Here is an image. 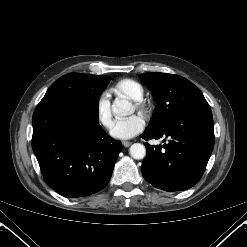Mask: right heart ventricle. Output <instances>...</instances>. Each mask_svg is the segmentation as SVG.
<instances>
[{
	"label": "right heart ventricle",
	"instance_id": "obj_1",
	"mask_svg": "<svg viewBox=\"0 0 247 247\" xmlns=\"http://www.w3.org/2000/svg\"><path fill=\"white\" fill-rule=\"evenodd\" d=\"M113 91L134 101L142 99L144 94L143 86L136 80L130 78L117 81L113 86Z\"/></svg>",
	"mask_w": 247,
	"mask_h": 247
}]
</instances>
